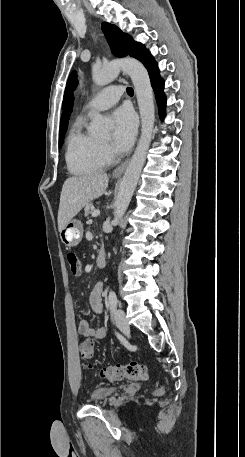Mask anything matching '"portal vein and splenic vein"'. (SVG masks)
<instances>
[{
	"mask_svg": "<svg viewBox=\"0 0 245 457\" xmlns=\"http://www.w3.org/2000/svg\"><path fill=\"white\" fill-rule=\"evenodd\" d=\"M98 214H100V210H94V212H92V216H98Z\"/></svg>",
	"mask_w": 245,
	"mask_h": 457,
	"instance_id": "1",
	"label": "portal vein and splenic vein"
}]
</instances>
